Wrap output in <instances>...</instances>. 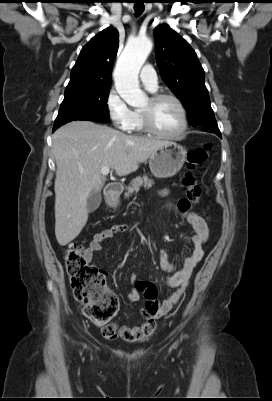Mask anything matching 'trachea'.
Wrapping results in <instances>:
<instances>
[{
	"label": "trachea",
	"mask_w": 272,
	"mask_h": 401,
	"mask_svg": "<svg viewBox=\"0 0 272 401\" xmlns=\"http://www.w3.org/2000/svg\"><path fill=\"white\" fill-rule=\"evenodd\" d=\"M135 5H134V10L137 15H140L143 13L145 6L143 4V0H135Z\"/></svg>",
	"instance_id": "3493384b"
}]
</instances>
